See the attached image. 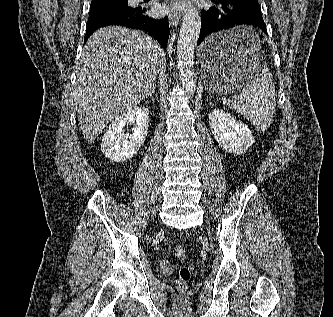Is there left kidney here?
<instances>
[{"label": "left kidney", "instance_id": "5707ae66", "mask_svg": "<svg viewBox=\"0 0 333 317\" xmlns=\"http://www.w3.org/2000/svg\"><path fill=\"white\" fill-rule=\"evenodd\" d=\"M209 124L218 144L229 153L244 154L255 142L249 128L225 110L210 112Z\"/></svg>", "mask_w": 333, "mask_h": 317}]
</instances>
